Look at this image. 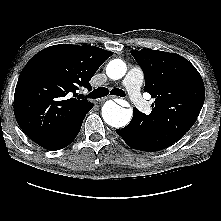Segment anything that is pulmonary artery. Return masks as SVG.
Listing matches in <instances>:
<instances>
[{"instance_id":"e3ab8cb5","label":"pulmonary artery","mask_w":221,"mask_h":221,"mask_svg":"<svg viewBox=\"0 0 221 221\" xmlns=\"http://www.w3.org/2000/svg\"><path fill=\"white\" fill-rule=\"evenodd\" d=\"M144 76L143 72L138 67H132L124 81L123 85L125 86L128 95L131 99V101L134 103V105L143 113H150L151 111V105L148 101H146L141 93L140 88L143 83Z\"/></svg>"}]
</instances>
